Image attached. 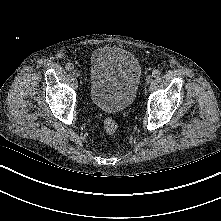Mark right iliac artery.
Returning <instances> with one entry per match:
<instances>
[{
  "label": "right iliac artery",
  "mask_w": 221,
  "mask_h": 221,
  "mask_svg": "<svg viewBox=\"0 0 221 221\" xmlns=\"http://www.w3.org/2000/svg\"><path fill=\"white\" fill-rule=\"evenodd\" d=\"M65 68H66L67 70L71 71V70H73L74 66H73L72 63H67L66 66H65Z\"/></svg>",
  "instance_id": "1"
}]
</instances>
